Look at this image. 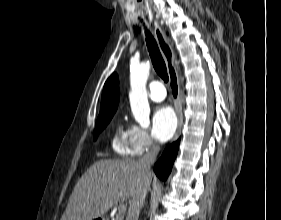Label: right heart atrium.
Returning a JSON list of instances; mask_svg holds the SVG:
<instances>
[{
	"label": "right heart atrium",
	"instance_id": "1",
	"mask_svg": "<svg viewBox=\"0 0 281 220\" xmlns=\"http://www.w3.org/2000/svg\"><path fill=\"white\" fill-rule=\"evenodd\" d=\"M131 142L138 153L151 150L156 147V143L148 131L137 125L130 127Z\"/></svg>",
	"mask_w": 281,
	"mask_h": 220
}]
</instances>
